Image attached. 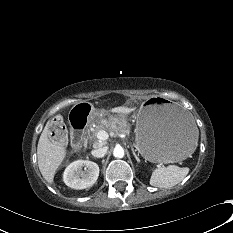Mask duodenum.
<instances>
[{
    "label": "duodenum",
    "mask_w": 233,
    "mask_h": 233,
    "mask_svg": "<svg viewBox=\"0 0 233 233\" xmlns=\"http://www.w3.org/2000/svg\"><path fill=\"white\" fill-rule=\"evenodd\" d=\"M91 116V107L87 103H78L70 115L73 126L72 141L76 148H81L86 142L87 119Z\"/></svg>",
    "instance_id": "1"
}]
</instances>
